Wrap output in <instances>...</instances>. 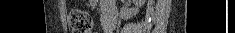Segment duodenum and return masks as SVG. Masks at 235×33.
Segmentation results:
<instances>
[{"mask_svg":"<svg viewBox=\"0 0 235 33\" xmlns=\"http://www.w3.org/2000/svg\"><path fill=\"white\" fill-rule=\"evenodd\" d=\"M115 26H116V9H110L104 21L105 33H112Z\"/></svg>","mask_w":235,"mask_h":33,"instance_id":"1","label":"duodenum"}]
</instances>
